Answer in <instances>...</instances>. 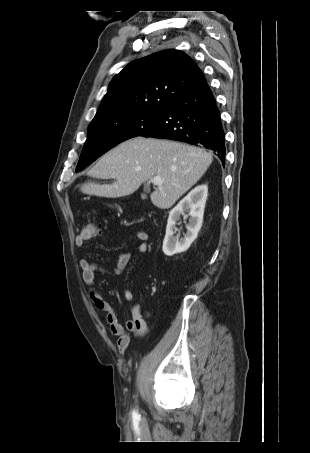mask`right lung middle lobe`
Wrapping results in <instances>:
<instances>
[{
  "mask_svg": "<svg viewBox=\"0 0 310 453\" xmlns=\"http://www.w3.org/2000/svg\"><path fill=\"white\" fill-rule=\"evenodd\" d=\"M162 113L163 111L121 112L92 120L76 171H81L117 144L139 136L151 127Z\"/></svg>",
  "mask_w": 310,
  "mask_h": 453,
  "instance_id": "right-lung-middle-lobe-1",
  "label": "right lung middle lobe"
}]
</instances>
